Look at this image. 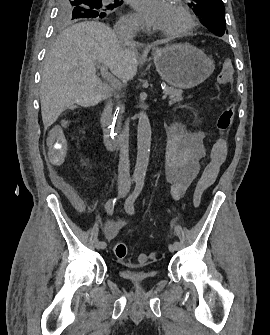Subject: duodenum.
<instances>
[{
	"label": "duodenum",
	"instance_id": "410a0bca",
	"mask_svg": "<svg viewBox=\"0 0 270 335\" xmlns=\"http://www.w3.org/2000/svg\"><path fill=\"white\" fill-rule=\"evenodd\" d=\"M101 129L105 146L109 150H114L117 146V139L111 128L112 123V105L109 103L103 109L101 114Z\"/></svg>",
	"mask_w": 270,
	"mask_h": 335
}]
</instances>
